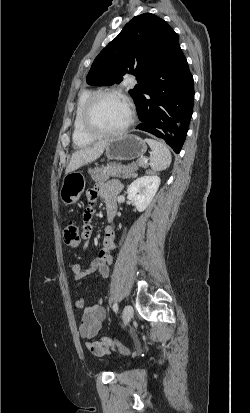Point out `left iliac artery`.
Returning <instances> with one entry per match:
<instances>
[{"label":"left iliac artery","instance_id":"left-iliac-artery-1","mask_svg":"<svg viewBox=\"0 0 250 413\" xmlns=\"http://www.w3.org/2000/svg\"><path fill=\"white\" fill-rule=\"evenodd\" d=\"M113 310H114L115 313L118 312V304L117 303H114Z\"/></svg>","mask_w":250,"mask_h":413}]
</instances>
